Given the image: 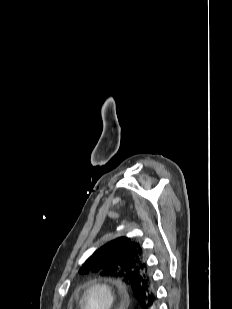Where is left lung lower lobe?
<instances>
[{"label": "left lung lower lobe", "mask_w": 232, "mask_h": 309, "mask_svg": "<svg viewBox=\"0 0 232 309\" xmlns=\"http://www.w3.org/2000/svg\"><path fill=\"white\" fill-rule=\"evenodd\" d=\"M158 299L156 297L155 291L150 295V297L139 303V308L141 309H157Z\"/></svg>", "instance_id": "0a47b994"}]
</instances>
